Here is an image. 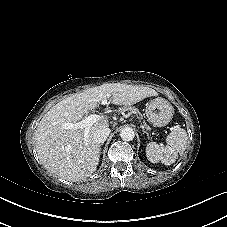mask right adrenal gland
<instances>
[{
	"mask_svg": "<svg viewBox=\"0 0 227 227\" xmlns=\"http://www.w3.org/2000/svg\"><path fill=\"white\" fill-rule=\"evenodd\" d=\"M99 150H101V145H99Z\"/></svg>",
	"mask_w": 227,
	"mask_h": 227,
	"instance_id": "right-adrenal-gland-1",
	"label": "right adrenal gland"
}]
</instances>
